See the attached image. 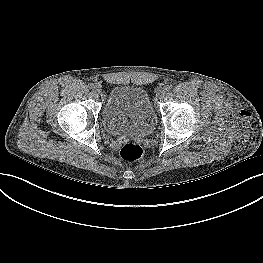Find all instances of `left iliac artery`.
<instances>
[{"label": "left iliac artery", "mask_w": 263, "mask_h": 263, "mask_svg": "<svg viewBox=\"0 0 263 263\" xmlns=\"http://www.w3.org/2000/svg\"><path fill=\"white\" fill-rule=\"evenodd\" d=\"M169 90V88H163V93H168Z\"/></svg>", "instance_id": "left-iliac-artery-1"}]
</instances>
